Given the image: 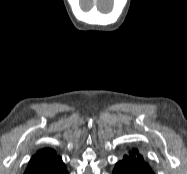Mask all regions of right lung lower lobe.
I'll return each mask as SVG.
<instances>
[{"label": "right lung lower lobe", "mask_w": 187, "mask_h": 174, "mask_svg": "<svg viewBox=\"0 0 187 174\" xmlns=\"http://www.w3.org/2000/svg\"><path fill=\"white\" fill-rule=\"evenodd\" d=\"M58 174H68L66 168L64 170H62L61 172H59Z\"/></svg>", "instance_id": "1"}]
</instances>
